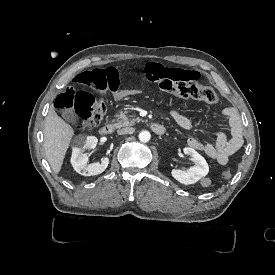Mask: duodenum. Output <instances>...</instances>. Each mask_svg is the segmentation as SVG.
Listing matches in <instances>:
<instances>
[{
    "instance_id": "1",
    "label": "duodenum",
    "mask_w": 275,
    "mask_h": 275,
    "mask_svg": "<svg viewBox=\"0 0 275 275\" xmlns=\"http://www.w3.org/2000/svg\"><path fill=\"white\" fill-rule=\"evenodd\" d=\"M150 128L152 132H154L157 135H162L165 133V127L160 123L154 122L151 124ZM113 131H114V126L112 123L104 124L98 130L99 134L103 136H108L112 134Z\"/></svg>"
}]
</instances>
